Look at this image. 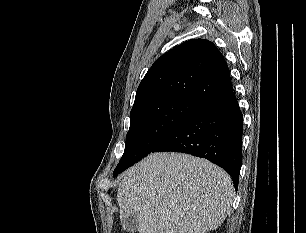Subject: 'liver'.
I'll list each match as a JSON object with an SVG mask.
<instances>
[{
    "instance_id": "liver-1",
    "label": "liver",
    "mask_w": 306,
    "mask_h": 233,
    "mask_svg": "<svg viewBox=\"0 0 306 233\" xmlns=\"http://www.w3.org/2000/svg\"><path fill=\"white\" fill-rule=\"evenodd\" d=\"M231 177L206 159L152 153L128 169L117 191L120 219L134 214L139 233H207L226 219Z\"/></svg>"
}]
</instances>
